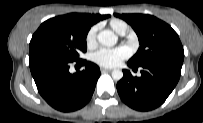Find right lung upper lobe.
Segmentation results:
<instances>
[{"label":"right lung upper lobe","instance_id":"obj_1","mask_svg":"<svg viewBox=\"0 0 203 123\" xmlns=\"http://www.w3.org/2000/svg\"><path fill=\"white\" fill-rule=\"evenodd\" d=\"M72 14L80 17L90 27L93 24L99 22L100 20L110 17V15H100V14H86V13H83V14L72 13Z\"/></svg>","mask_w":203,"mask_h":123}]
</instances>
